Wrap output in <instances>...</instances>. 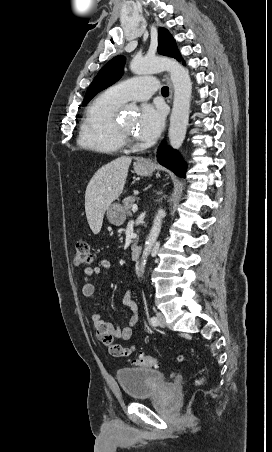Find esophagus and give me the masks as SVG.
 <instances>
[{
  "label": "esophagus",
  "instance_id": "obj_1",
  "mask_svg": "<svg viewBox=\"0 0 272 452\" xmlns=\"http://www.w3.org/2000/svg\"><path fill=\"white\" fill-rule=\"evenodd\" d=\"M165 78L167 79V82H168V84H169V88H170V98L172 97V94H173V87H172V84H171V81H170V79H169V77H168V74H165ZM151 161H152V159H147L146 161H144V162H141L142 164H147V165H149L150 163H151Z\"/></svg>",
  "mask_w": 272,
  "mask_h": 452
}]
</instances>
